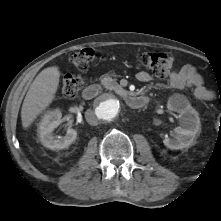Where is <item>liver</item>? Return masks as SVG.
I'll return each instance as SVG.
<instances>
[{
    "label": "liver",
    "mask_w": 221,
    "mask_h": 221,
    "mask_svg": "<svg viewBox=\"0 0 221 221\" xmlns=\"http://www.w3.org/2000/svg\"><path fill=\"white\" fill-rule=\"evenodd\" d=\"M60 71L57 66L42 70L30 85L21 109L23 128H28L37 116L53 101L59 86Z\"/></svg>",
    "instance_id": "6515ba94"
}]
</instances>
